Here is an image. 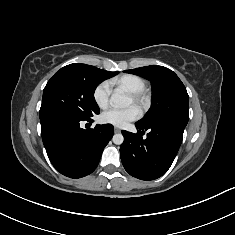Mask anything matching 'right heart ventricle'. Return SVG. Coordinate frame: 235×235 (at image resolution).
Here are the masks:
<instances>
[{
  "label": "right heart ventricle",
  "mask_w": 235,
  "mask_h": 235,
  "mask_svg": "<svg viewBox=\"0 0 235 235\" xmlns=\"http://www.w3.org/2000/svg\"><path fill=\"white\" fill-rule=\"evenodd\" d=\"M113 85L123 87L130 93L143 91L146 87L145 81L133 74H126L111 81Z\"/></svg>",
  "instance_id": "right-heart-ventricle-1"
}]
</instances>
